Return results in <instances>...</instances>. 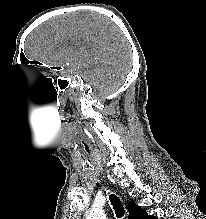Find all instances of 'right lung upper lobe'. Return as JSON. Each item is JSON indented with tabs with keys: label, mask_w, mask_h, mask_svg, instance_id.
<instances>
[{
	"label": "right lung upper lobe",
	"mask_w": 206,
	"mask_h": 219,
	"mask_svg": "<svg viewBox=\"0 0 206 219\" xmlns=\"http://www.w3.org/2000/svg\"><path fill=\"white\" fill-rule=\"evenodd\" d=\"M128 219H155L154 216H149L147 213L139 206H137L133 200L128 204Z\"/></svg>",
	"instance_id": "1"
}]
</instances>
